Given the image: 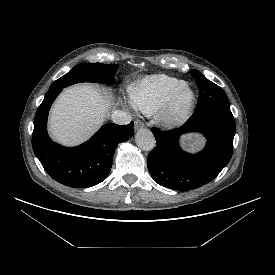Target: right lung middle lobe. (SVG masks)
Here are the masks:
<instances>
[{
	"mask_svg": "<svg viewBox=\"0 0 275 275\" xmlns=\"http://www.w3.org/2000/svg\"><path fill=\"white\" fill-rule=\"evenodd\" d=\"M118 65H106L102 63H82L74 67L70 72L56 80L50 89L67 87L79 82L112 83L113 75Z\"/></svg>",
	"mask_w": 275,
	"mask_h": 275,
	"instance_id": "1",
	"label": "right lung middle lobe"
}]
</instances>
